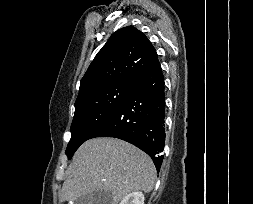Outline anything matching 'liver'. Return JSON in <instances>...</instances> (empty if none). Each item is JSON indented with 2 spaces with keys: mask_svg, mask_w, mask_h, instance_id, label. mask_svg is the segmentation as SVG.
Instances as JSON below:
<instances>
[{
  "mask_svg": "<svg viewBox=\"0 0 253 204\" xmlns=\"http://www.w3.org/2000/svg\"><path fill=\"white\" fill-rule=\"evenodd\" d=\"M155 180L153 161L143 151L120 139L93 138L74 154L60 200L71 203L94 191L106 190L117 204L131 192H151Z\"/></svg>",
  "mask_w": 253,
  "mask_h": 204,
  "instance_id": "1",
  "label": "liver"
}]
</instances>
